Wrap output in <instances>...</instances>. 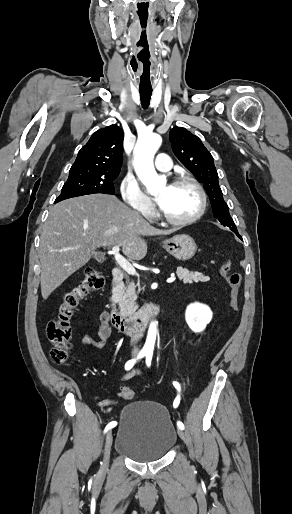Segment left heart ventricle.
Returning a JSON list of instances; mask_svg holds the SVG:
<instances>
[{
	"instance_id": "1",
	"label": "left heart ventricle",
	"mask_w": 292,
	"mask_h": 514,
	"mask_svg": "<svg viewBox=\"0 0 292 514\" xmlns=\"http://www.w3.org/2000/svg\"><path fill=\"white\" fill-rule=\"evenodd\" d=\"M156 195L162 198L160 207L168 216L174 219L187 218L198 207V195L190 186H164Z\"/></svg>"
}]
</instances>
